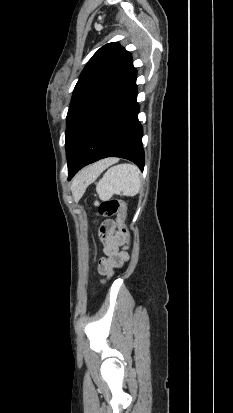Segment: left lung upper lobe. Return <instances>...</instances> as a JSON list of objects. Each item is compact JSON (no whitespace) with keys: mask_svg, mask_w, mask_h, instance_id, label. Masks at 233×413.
I'll list each match as a JSON object with an SVG mask.
<instances>
[{"mask_svg":"<svg viewBox=\"0 0 233 413\" xmlns=\"http://www.w3.org/2000/svg\"><path fill=\"white\" fill-rule=\"evenodd\" d=\"M132 69L130 52L118 43L104 45L88 61L74 88L66 118L68 163L93 118L119 90Z\"/></svg>","mask_w":233,"mask_h":413,"instance_id":"left-lung-upper-lobe-1","label":"left lung upper lobe"}]
</instances>
